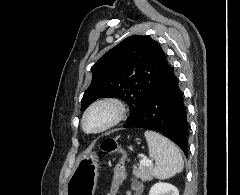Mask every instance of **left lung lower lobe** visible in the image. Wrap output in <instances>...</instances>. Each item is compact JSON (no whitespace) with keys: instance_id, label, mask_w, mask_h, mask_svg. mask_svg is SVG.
<instances>
[{"instance_id":"1","label":"left lung lower lobe","mask_w":240,"mask_h":195,"mask_svg":"<svg viewBox=\"0 0 240 195\" xmlns=\"http://www.w3.org/2000/svg\"><path fill=\"white\" fill-rule=\"evenodd\" d=\"M124 128H144L160 132L187 154L186 107L178 80L170 67L164 80L154 88L140 111Z\"/></svg>"}]
</instances>
